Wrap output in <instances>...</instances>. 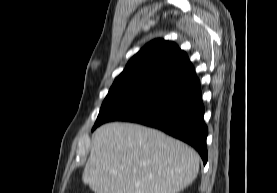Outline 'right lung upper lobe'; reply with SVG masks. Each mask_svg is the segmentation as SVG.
<instances>
[{
	"instance_id": "obj_1",
	"label": "right lung upper lobe",
	"mask_w": 277,
	"mask_h": 193,
	"mask_svg": "<svg viewBox=\"0 0 277 193\" xmlns=\"http://www.w3.org/2000/svg\"><path fill=\"white\" fill-rule=\"evenodd\" d=\"M194 73L187 54L177 44L156 39L129 60L111 89L151 93Z\"/></svg>"
}]
</instances>
